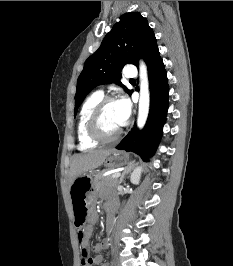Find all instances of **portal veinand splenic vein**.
<instances>
[{
    "instance_id": "1",
    "label": "portal vein and splenic vein",
    "mask_w": 233,
    "mask_h": 266,
    "mask_svg": "<svg viewBox=\"0 0 233 266\" xmlns=\"http://www.w3.org/2000/svg\"><path fill=\"white\" fill-rule=\"evenodd\" d=\"M121 173L120 172H116L114 174H112V178H118L120 177Z\"/></svg>"
}]
</instances>
